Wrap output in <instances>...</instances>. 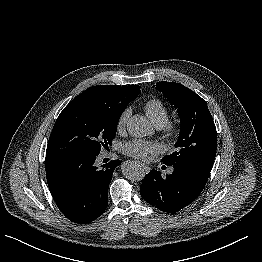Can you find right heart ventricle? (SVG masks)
Listing matches in <instances>:
<instances>
[{"mask_svg": "<svg viewBox=\"0 0 262 262\" xmlns=\"http://www.w3.org/2000/svg\"><path fill=\"white\" fill-rule=\"evenodd\" d=\"M144 111L156 127H164L169 120V111L159 99H150L144 105Z\"/></svg>", "mask_w": 262, "mask_h": 262, "instance_id": "1", "label": "right heart ventricle"}]
</instances>
